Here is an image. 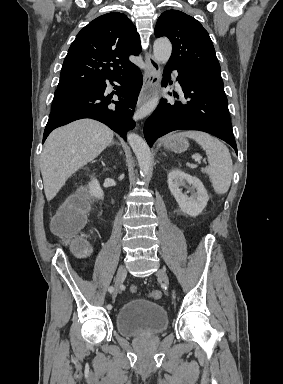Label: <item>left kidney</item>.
Here are the masks:
<instances>
[{
    "label": "left kidney",
    "mask_w": 283,
    "mask_h": 384,
    "mask_svg": "<svg viewBox=\"0 0 283 384\" xmlns=\"http://www.w3.org/2000/svg\"><path fill=\"white\" fill-rule=\"evenodd\" d=\"M187 184L192 186V190H196V192L191 194L190 198L180 190V186L188 188ZM168 186L172 196L178 202L179 208L188 216H199L205 206H207L209 196L199 178H194V176H189V174H185L182 170L174 168L168 174Z\"/></svg>",
    "instance_id": "5707ae66"
}]
</instances>
